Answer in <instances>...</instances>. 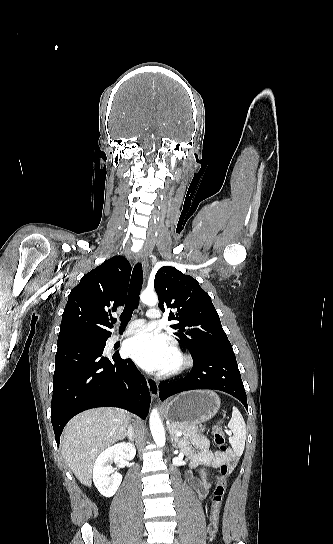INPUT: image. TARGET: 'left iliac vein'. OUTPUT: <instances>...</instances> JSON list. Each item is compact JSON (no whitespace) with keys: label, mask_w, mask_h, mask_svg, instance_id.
I'll return each instance as SVG.
<instances>
[{"label":"left iliac vein","mask_w":333,"mask_h":544,"mask_svg":"<svg viewBox=\"0 0 333 544\" xmlns=\"http://www.w3.org/2000/svg\"><path fill=\"white\" fill-rule=\"evenodd\" d=\"M174 544H179V542L175 539Z\"/></svg>","instance_id":"4c4485c4"}]
</instances>
